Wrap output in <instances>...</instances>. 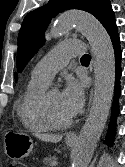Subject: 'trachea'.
I'll use <instances>...</instances> for the list:
<instances>
[{"label":"trachea","mask_w":125,"mask_h":167,"mask_svg":"<svg viewBox=\"0 0 125 167\" xmlns=\"http://www.w3.org/2000/svg\"><path fill=\"white\" fill-rule=\"evenodd\" d=\"M82 62H89L90 61V56L88 54H85L81 58Z\"/></svg>","instance_id":"trachea-1"}]
</instances>
